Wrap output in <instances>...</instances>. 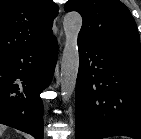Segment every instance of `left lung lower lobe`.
<instances>
[{
    "label": "left lung lower lobe",
    "mask_w": 141,
    "mask_h": 139,
    "mask_svg": "<svg viewBox=\"0 0 141 139\" xmlns=\"http://www.w3.org/2000/svg\"><path fill=\"white\" fill-rule=\"evenodd\" d=\"M75 138L141 139V55L78 38Z\"/></svg>",
    "instance_id": "1"
}]
</instances>
